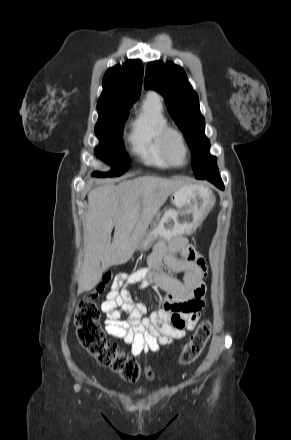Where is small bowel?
Returning <instances> with one entry per match:
<instances>
[{"instance_id":"1","label":"small bowel","mask_w":291,"mask_h":440,"mask_svg":"<svg viewBox=\"0 0 291 440\" xmlns=\"http://www.w3.org/2000/svg\"><path fill=\"white\" fill-rule=\"evenodd\" d=\"M164 262L173 272L184 273L180 281L158 272ZM206 266L199 252L184 237L158 243L148 257V270L119 275L113 280L101 310L106 313L105 332L131 346L133 356L157 351L184 338L194 329L205 306ZM144 282L155 283L166 296L161 308L146 316L143 304H134L130 290ZM126 316V319H123Z\"/></svg>"}]
</instances>
